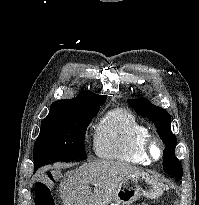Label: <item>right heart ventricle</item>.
Returning a JSON list of instances; mask_svg holds the SVG:
<instances>
[{"instance_id":"right-heart-ventricle-1","label":"right heart ventricle","mask_w":199,"mask_h":205,"mask_svg":"<svg viewBox=\"0 0 199 205\" xmlns=\"http://www.w3.org/2000/svg\"><path fill=\"white\" fill-rule=\"evenodd\" d=\"M148 128L126 109L117 108L100 120L94 135V150L99 158L122 163L148 165L142 152Z\"/></svg>"}]
</instances>
